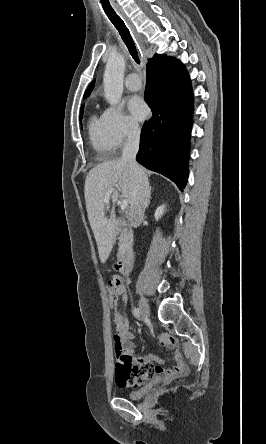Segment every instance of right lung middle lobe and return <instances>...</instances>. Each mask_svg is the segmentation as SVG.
<instances>
[{"mask_svg":"<svg viewBox=\"0 0 266 444\" xmlns=\"http://www.w3.org/2000/svg\"><path fill=\"white\" fill-rule=\"evenodd\" d=\"M83 108H84V105H82V106H81V109H80V119H81V117H82Z\"/></svg>","mask_w":266,"mask_h":444,"instance_id":"obj_1","label":"right lung middle lobe"}]
</instances>
